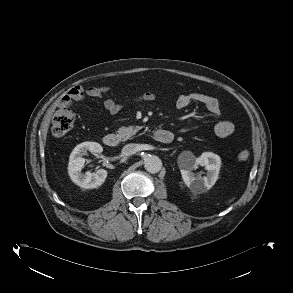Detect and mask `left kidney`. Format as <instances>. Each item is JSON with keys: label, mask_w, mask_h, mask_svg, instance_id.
<instances>
[{"label": "left kidney", "mask_w": 293, "mask_h": 293, "mask_svg": "<svg viewBox=\"0 0 293 293\" xmlns=\"http://www.w3.org/2000/svg\"><path fill=\"white\" fill-rule=\"evenodd\" d=\"M199 165L205 166L206 176L195 175L193 170ZM221 159L212 152H204L198 158L179 164L182 179L193 194H201L209 190L217 181Z\"/></svg>", "instance_id": "obj_1"}]
</instances>
